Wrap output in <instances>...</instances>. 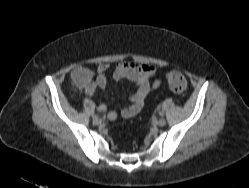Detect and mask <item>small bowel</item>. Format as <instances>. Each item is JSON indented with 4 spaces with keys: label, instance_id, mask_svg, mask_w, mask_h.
<instances>
[{
    "label": "small bowel",
    "instance_id": "1",
    "mask_svg": "<svg viewBox=\"0 0 249 188\" xmlns=\"http://www.w3.org/2000/svg\"><path fill=\"white\" fill-rule=\"evenodd\" d=\"M110 66L107 63H101L97 67L95 78L91 71L83 67H77L72 71V79L75 86L83 89L87 96L93 97L97 89H104L107 85L106 74ZM157 68L151 64H140L136 62H121L117 64L113 70V78L117 81L128 79L134 84V92L129 98V105L121 111L124 118H131L140 112L144 105L146 97L160 84V79H151L156 75ZM81 74V80H77L76 76ZM98 111L107 112L110 120L116 118L114 111H108L103 103L97 105Z\"/></svg>",
    "mask_w": 249,
    "mask_h": 188
}]
</instances>
